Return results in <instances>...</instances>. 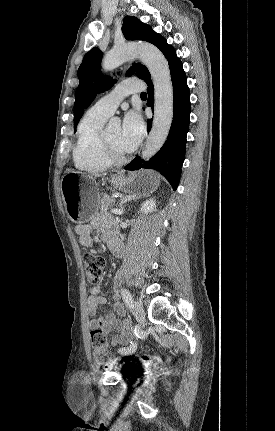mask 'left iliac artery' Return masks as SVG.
<instances>
[{
  "mask_svg": "<svg viewBox=\"0 0 275 431\" xmlns=\"http://www.w3.org/2000/svg\"><path fill=\"white\" fill-rule=\"evenodd\" d=\"M121 296H122V299H123L124 303L126 304V306L131 309L133 307V298H132L130 292L127 289L122 288L121 289ZM136 348H137V344L131 343L130 346H128V347L120 348L119 352L121 354H130V353L135 352Z\"/></svg>",
  "mask_w": 275,
  "mask_h": 431,
  "instance_id": "left-iliac-artery-1",
  "label": "left iliac artery"
}]
</instances>
